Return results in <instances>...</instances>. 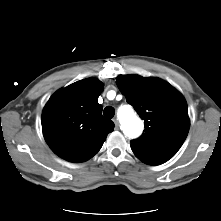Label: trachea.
<instances>
[{"label": "trachea", "instance_id": "obj_1", "mask_svg": "<svg viewBox=\"0 0 221 221\" xmlns=\"http://www.w3.org/2000/svg\"><path fill=\"white\" fill-rule=\"evenodd\" d=\"M103 114L105 117L111 119L114 117L115 109L111 106H107V107H105Z\"/></svg>", "mask_w": 221, "mask_h": 221}]
</instances>
